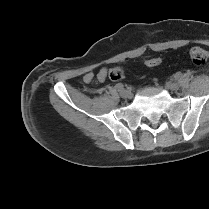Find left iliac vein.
Wrapping results in <instances>:
<instances>
[{
	"label": "left iliac vein",
	"instance_id": "obj_1",
	"mask_svg": "<svg viewBox=\"0 0 209 209\" xmlns=\"http://www.w3.org/2000/svg\"><path fill=\"white\" fill-rule=\"evenodd\" d=\"M166 88L171 91H177L179 89V85L175 82H167Z\"/></svg>",
	"mask_w": 209,
	"mask_h": 209
}]
</instances>
